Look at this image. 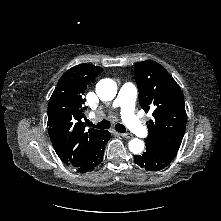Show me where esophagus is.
<instances>
[{"mask_svg":"<svg viewBox=\"0 0 221 221\" xmlns=\"http://www.w3.org/2000/svg\"><path fill=\"white\" fill-rule=\"evenodd\" d=\"M117 134L126 139H130L132 137L130 133H117Z\"/></svg>","mask_w":221,"mask_h":221,"instance_id":"obj_1","label":"esophagus"}]
</instances>
